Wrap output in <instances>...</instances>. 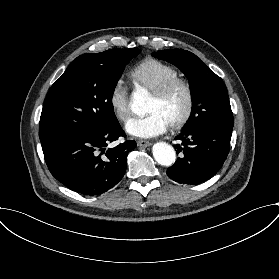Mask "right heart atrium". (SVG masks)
<instances>
[{"mask_svg":"<svg viewBox=\"0 0 279 279\" xmlns=\"http://www.w3.org/2000/svg\"><path fill=\"white\" fill-rule=\"evenodd\" d=\"M130 91L122 79L116 80L108 95V104L115 118L119 122H125L130 116L129 107Z\"/></svg>","mask_w":279,"mask_h":279,"instance_id":"right-heart-atrium-1","label":"right heart atrium"}]
</instances>
